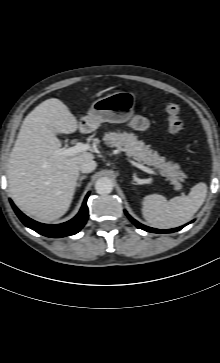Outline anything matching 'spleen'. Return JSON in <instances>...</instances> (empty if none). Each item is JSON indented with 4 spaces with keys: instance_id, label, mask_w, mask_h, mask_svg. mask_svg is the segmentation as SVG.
<instances>
[{
    "instance_id": "obj_1",
    "label": "spleen",
    "mask_w": 220,
    "mask_h": 363,
    "mask_svg": "<svg viewBox=\"0 0 220 363\" xmlns=\"http://www.w3.org/2000/svg\"><path fill=\"white\" fill-rule=\"evenodd\" d=\"M207 185L197 183L187 196L170 200L159 194H151L142 200V214L146 221L156 228L178 227L191 219L207 196Z\"/></svg>"
}]
</instances>
